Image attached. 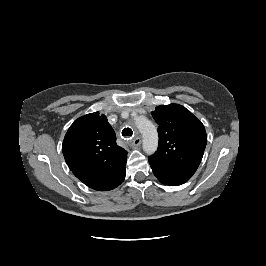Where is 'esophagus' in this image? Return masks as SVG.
Returning a JSON list of instances; mask_svg holds the SVG:
<instances>
[{"instance_id":"obj_1","label":"esophagus","mask_w":266,"mask_h":266,"mask_svg":"<svg viewBox=\"0 0 266 266\" xmlns=\"http://www.w3.org/2000/svg\"><path fill=\"white\" fill-rule=\"evenodd\" d=\"M141 142H142L141 138L140 137H136V138H134L132 140V145L133 146H140L141 145Z\"/></svg>"}]
</instances>
